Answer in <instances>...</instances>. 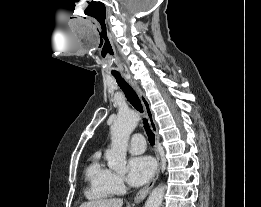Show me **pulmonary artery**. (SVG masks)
Instances as JSON below:
<instances>
[{
  "mask_svg": "<svg viewBox=\"0 0 261 207\" xmlns=\"http://www.w3.org/2000/svg\"><path fill=\"white\" fill-rule=\"evenodd\" d=\"M129 151L132 154H141L145 151V139L141 134H134L129 143Z\"/></svg>",
  "mask_w": 261,
  "mask_h": 207,
  "instance_id": "pulmonary-artery-1",
  "label": "pulmonary artery"
}]
</instances>
